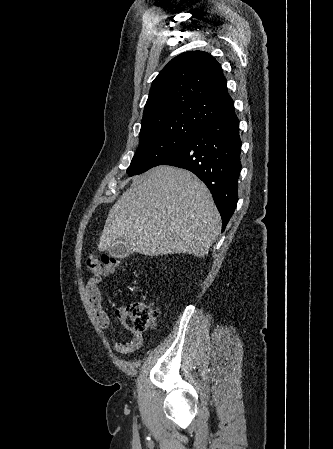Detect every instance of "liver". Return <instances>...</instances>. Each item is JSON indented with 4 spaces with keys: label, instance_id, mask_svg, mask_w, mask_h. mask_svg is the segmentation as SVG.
I'll list each match as a JSON object with an SVG mask.
<instances>
[{
    "label": "liver",
    "instance_id": "1",
    "mask_svg": "<svg viewBox=\"0 0 333 449\" xmlns=\"http://www.w3.org/2000/svg\"><path fill=\"white\" fill-rule=\"evenodd\" d=\"M221 227V217L208 188L191 172L157 166L134 176L110 210L98 249L118 240L144 255L208 254Z\"/></svg>",
    "mask_w": 333,
    "mask_h": 449
}]
</instances>
